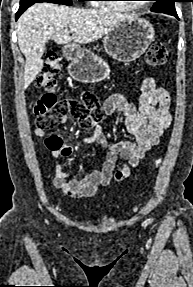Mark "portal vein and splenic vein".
Wrapping results in <instances>:
<instances>
[{"label": "portal vein and splenic vein", "mask_w": 193, "mask_h": 287, "mask_svg": "<svg viewBox=\"0 0 193 287\" xmlns=\"http://www.w3.org/2000/svg\"><path fill=\"white\" fill-rule=\"evenodd\" d=\"M70 31H71V32H75V31H76V28H71Z\"/></svg>", "instance_id": "portal-vein-and-splenic-vein-1"}]
</instances>
